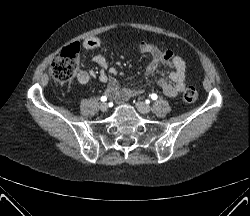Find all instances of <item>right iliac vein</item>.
<instances>
[{
	"label": "right iliac vein",
	"instance_id": "1",
	"mask_svg": "<svg viewBox=\"0 0 250 216\" xmlns=\"http://www.w3.org/2000/svg\"><path fill=\"white\" fill-rule=\"evenodd\" d=\"M107 109H108L107 103H102V104H100V110H101L102 112L107 111Z\"/></svg>",
	"mask_w": 250,
	"mask_h": 216
}]
</instances>
